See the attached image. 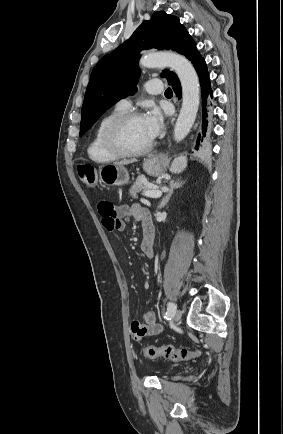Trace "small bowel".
Segmentation results:
<instances>
[{"label": "small bowel", "instance_id": "1", "mask_svg": "<svg viewBox=\"0 0 283 434\" xmlns=\"http://www.w3.org/2000/svg\"><path fill=\"white\" fill-rule=\"evenodd\" d=\"M97 208L102 217L103 226L109 232L122 231L131 217L139 221L142 226L151 225L148 212L139 204L116 206L110 200L103 198L98 201ZM141 250L149 258L154 255L153 245L145 241L141 244ZM161 332L162 326L157 323L156 316L151 311L143 314L142 322L133 321L131 324V334L135 340H141Z\"/></svg>", "mask_w": 283, "mask_h": 434}]
</instances>
